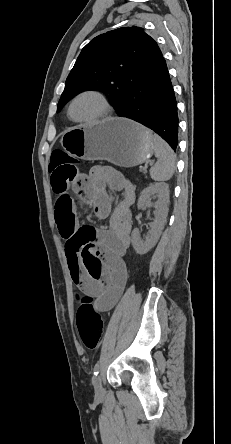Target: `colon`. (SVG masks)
I'll return each mask as SVG.
<instances>
[{
  "mask_svg": "<svg viewBox=\"0 0 231 444\" xmlns=\"http://www.w3.org/2000/svg\"><path fill=\"white\" fill-rule=\"evenodd\" d=\"M49 172L52 182L63 187L72 183L79 175V162L63 150H55L51 155ZM81 236L95 235V228L81 226ZM77 325L80 338L88 349H95L104 333V319L101 314L92 309L91 298L78 296Z\"/></svg>",
  "mask_w": 231,
  "mask_h": 444,
  "instance_id": "5ec220e1",
  "label": "colon"
}]
</instances>
